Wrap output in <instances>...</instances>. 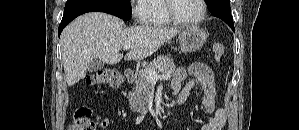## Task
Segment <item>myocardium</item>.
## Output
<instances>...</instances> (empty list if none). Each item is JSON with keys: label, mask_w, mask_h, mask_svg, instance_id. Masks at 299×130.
Segmentation results:
<instances>
[{"label": "myocardium", "mask_w": 299, "mask_h": 130, "mask_svg": "<svg viewBox=\"0 0 299 130\" xmlns=\"http://www.w3.org/2000/svg\"><path fill=\"white\" fill-rule=\"evenodd\" d=\"M174 1L175 0H166L165 1V11H166L168 18L170 19V21L172 23L180 25V26H184V27H191V26H195V25L201 23L203 21V19L205 18L206 13H207V6H206L205 0H199L200 6H201V13L196 19H193V20H183L176 16V14L174 13V10H173V2Z\"/></svg>", "instance_id": "obj_1"}]
</instances>
